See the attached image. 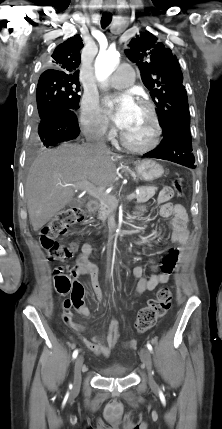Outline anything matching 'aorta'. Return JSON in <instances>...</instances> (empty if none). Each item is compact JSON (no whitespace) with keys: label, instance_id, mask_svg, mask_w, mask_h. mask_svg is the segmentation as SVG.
<instances>
[{"label":"aorta","instance_id":"1","mask_svg":"<svg viewBox=\"0 0 222 429\" xmlns=\"http://www.w3.org/2000/svg\"><path fill=\"white\" fill-rule=\"evenodd\" d=\"M120 54L116 50H107L100 52L95 61V74L98 80L103 81L109 77L117 64Z\"/></svg>","mask_w":222,"mask_h":429}]
</instances>
